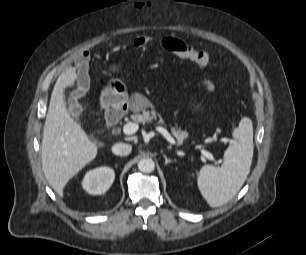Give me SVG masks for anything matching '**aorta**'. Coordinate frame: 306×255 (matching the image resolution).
Masks as SVG:
<instances>
[{"instance_id": "1", "label": "aorta", "mask_w": 306, "mask_h": 255, "mask_svg": "<svg viewBox=\"0 0 306 255\" xmlns=\"http://www.w3.org/2000/svg\"><path fill=\"white\" fill-rule=\"evenodd\" d=\"M138 169L143 173H151L155 169V163L151 158H143L138 162Z\"/></svg>"}]
</instances>
